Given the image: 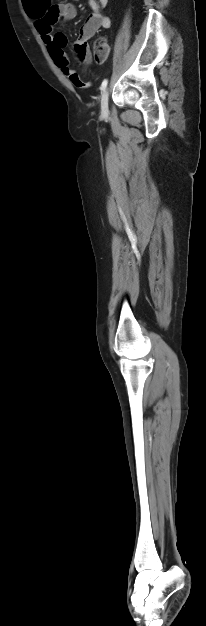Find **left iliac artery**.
<instances>
[{"label": "left iliac artery", "mask_w": 206, "mask_h": 626, "mask_svg": "<svg viewBox=\"0 0 206 626\" xmlns=\"http://www.w3.org/2000/svg\"><path fill=\"white\" fill-rule=\"evenodd\" d=\"M107 84H108V80H107V79H104V80H103V82H102V84H101L100 89H101L102 91H103V90H105V88H106Z\"/></svg>", "instance_id": "1"}]
</instances>
